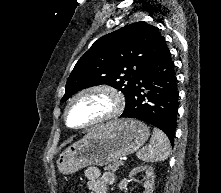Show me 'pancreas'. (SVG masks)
Listing matches in <instances>:
<instances>
[{"label": "pancreas", "instance_id": "pancreas-1", "mask_svg": "<svg viewBox=\"0 0 221 193\" xmlns=\"http://www.w3.org/2000/svg\"><path fill=\"white\" fill-rule=\"evenodd\" d=\"M122 165L120 161H114L112 164H109L104 169L106 171L116 172L119 169V166Z\"/></svg>", "mask_w": 221, "mask_h": 193}]
</instances>
